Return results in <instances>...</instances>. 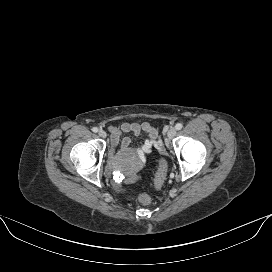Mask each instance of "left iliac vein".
I'll use <instances>...</instances> for the list:
<instances>
[{"instance_id": "left-iliac-vein-1", "label": "left iliac vein", "mask_w": 272, "mask_h": 272, "mask_svg": "<svg viewBox=\"0 0 272 272\" xmlns=\"http://www.w3.org/2000/svg\"><path fill=\"white\" fill-rule=\"evenodd\" d=\"M176 128L175 127H171L168 132H167V138L168 140L172 139L175 135H176Z\"/></svg>"}]
</instances>
